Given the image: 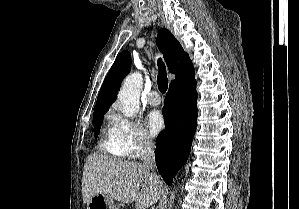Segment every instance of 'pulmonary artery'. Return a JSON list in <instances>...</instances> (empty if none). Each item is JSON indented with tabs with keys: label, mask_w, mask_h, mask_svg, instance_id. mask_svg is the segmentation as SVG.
<instances>
[{
	"label": "pulmonary artery",
	"mask_w": 299,
	"mask_h": 209,
	"mask_svg": "<svg viewBox=\"0 0 299 209\" xmlns=\"http://www.w3.org/2000/svg\"><path fill=\"white\" fill-rule=\"evenodd\" d=\"M147 102L153 106L159 105L161 103L159 93L156 90H152L151 92H149V94L147 95Z\"/></svg>",
	"instance_id": "obj_1"
}]
</instances>
